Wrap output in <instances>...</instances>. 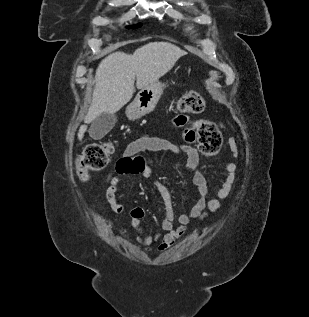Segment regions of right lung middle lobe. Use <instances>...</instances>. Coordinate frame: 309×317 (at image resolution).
Listing matches in <instances>:
<instances>
[{"label":"right lung middle lobe","mask_w":309,"mask_h":317,"mask_svg":"<svg viewBox=\"0 0 309 317\" xmlns=\"http://www.w3.org/2000/svg\"><path fill=\"white\" fill-rule=\"evenodd\" d=\"M142 24H136V25H132V26H128L127 28L129 29V28H138V27H140Z\"/></svg>","instance_id":"dd1d6c3e"}]
</instances>
